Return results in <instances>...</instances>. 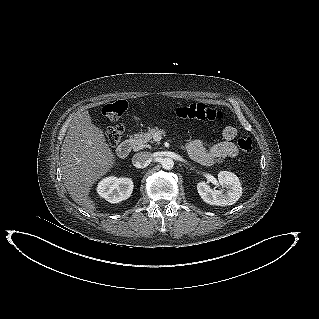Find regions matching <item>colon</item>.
Returning a JSON list of instances; mask_svg holds the SVG:
<instances>
[{
	"label": "colon",
	"mask_w": 319,
	"mask_h": 319,
	"mask_svg": "<svg viewBox=\"0 0 319 319\" xmlns=\"http://www.w3.org/2000/svg\"><path fill=\"white\" fill-rule=\"evenodd\" d=\"M127 102L118 100L103 106L102 113L105 117L115 120L127 110ZM171 113L180 119L191 121H220L224 118V113L203 103H192L178 106L172 109ZM124 127L121 124L110 126L106 129L105 135L108 143L112 146L121 140ZM238 147L245 154L253 152V142L249 137L238 139Z\"/></svg>",
	"instance_id": "colon-1"
}]
</instances>
